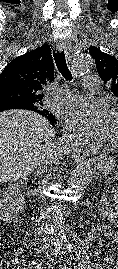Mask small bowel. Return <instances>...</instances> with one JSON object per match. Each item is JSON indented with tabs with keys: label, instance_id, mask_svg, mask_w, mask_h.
<instances>
[{
	"label": "small bowel",
	"instance_id": "small-bowel-1",
	"mask_svg": "<svg viewBox=\"0 0 118 269\" xmlns=\"http://www.w3.org/2000/svg\"><path fill=\"white\" fill-rule=\"evenodd\" d=\"M115 199H116V203L118 206V194H116ZM117 211H118V207H117ZM114 221H115V223L118 224V213H117V216L115 217ZM105 231H106V234L108 235V237L110 238V240L118 246V231H111V230H105Z\"/></svg>",
	"mask_w": 118,
	"mask_h": 269
}]
</instances>
